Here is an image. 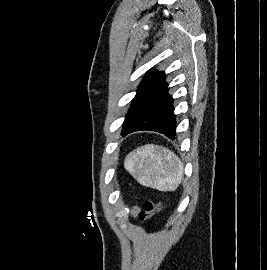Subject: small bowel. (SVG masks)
Segmentation results:
<instances>
[{"label":"small bowel","mask_w":267,"mask_h":270,"mask_svg":"<svg viewBox=\"0 0 267 270\" xmlns=\"http://www.w3.org/2000/svg\"><path fill=\"white\" fill-rule=\"evenodd\" d=\"M138 212H139V209H138V208H134V209L132 210V215L135 216V215L138 214Z\"/></svg>","instance_id":"small-bowel-1"}]
</instances>
